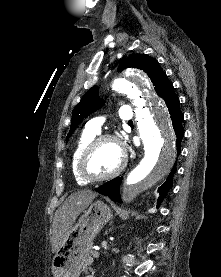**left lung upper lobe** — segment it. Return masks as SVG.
<instances>
[{
	"mask_svg": "<svg viewBox=\"0 0 221 277\" xmlns=\"http://www.w3.org/2000/svg\"><path fill=\"white\" fill-rule=\"evenodd\" d=\"M128 67H135L143 70L151 79L157 94L163 98L167 89L172 86L166 73L159 66L154 58L144 54H132L128 59L122 61L118 71ZM104 101L99 98V89L93 86L76 105L72 112L71 128L66 137L70 138L78 124L88 115L102 107Z\"/></svg>",
	"mask_w": 221,
	"mask_h": 277,
	"instance_id": "5c2ea615",
	"label": "left lung upper lobe"
}]
</instances>
